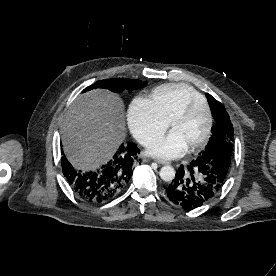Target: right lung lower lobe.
Here are the masks:
<instances>
[{"mask_svg":"<svg viewBox=\"0 0 276 276\" xmlns=\"http://www.w3.org/2000/svg\"><path fill=\"white\" fill-rule=\"evenodd\" d=\"M139 152L134 143L122 144L107 164L88 172L74 169L63 156V174L73 191L82 199L92 203L106 202L128 185Z\"/></svg>","mask_w":276,"mask_h":276,"instance_id":"right-lung-lower-lobe-1","label":"right lung lower lobe"}]
</instances>
